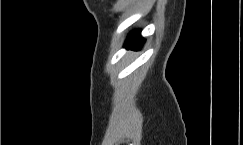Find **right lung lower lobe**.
I'll return each mask as SVG.
<instances>
[{
  "label": "right lung lower lobe",
  "instance_id": "98d812e1",
  "mask_svg": "<svg viewBox=\"0 0 243 145\" xmlns=\"http://www.w3.org/2000/svg\"><path fill=\"white\" fill-rule=\"evenodd\" d=\"M144 39L140 36V31H134L129 36L125 42V47L138 50L142 47Z\"/></svg>",
  "mask_w": 243,
  "mask_h": 145
}]
</instances>
